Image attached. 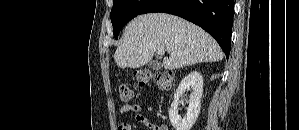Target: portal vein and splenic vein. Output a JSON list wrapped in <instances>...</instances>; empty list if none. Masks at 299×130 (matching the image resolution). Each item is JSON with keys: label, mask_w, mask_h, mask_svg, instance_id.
Returning <instances> with one entry per match:
<instances>
[{"label": "portal vein and splenic vein", "mask_w": 299, "mask_h": 130, "mask_svg": "<svg viewBox=\"0 0 299 130\" xmlns=\"http://www.w3.org/2000/svg\"><path fill=\"white\" fill-rule=\"evenodd\" d=\"M164 53H165V50H164V49H159V50H158V54H159V55H163Z\"/></svg>", "instance_id": "portal-vein-and-splenic-vein-1"}]
</instances>
